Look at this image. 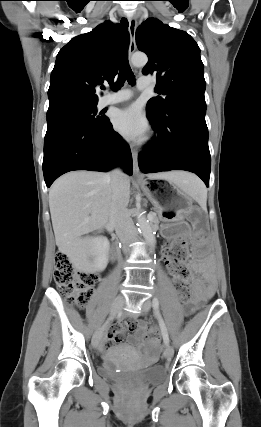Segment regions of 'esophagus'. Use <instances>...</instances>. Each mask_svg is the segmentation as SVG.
<instances>
[{
    "instance_id": "34e87169",
    "label": "esophagus",
    "mask_w": 261,
    "mask_h": 427,
    "mask_svg": "<svg viewBox=\"0 0 261 427\" xmlns=\"http://www.w3.org/2000/svg\"><path fill=\"white\" fill-rule=\"evenodd\" d=\"M128 21H129L128 31L130 36L128 55H129V58H131L136 50L135 33H136V27H137V20L135 17L131 16L128 18ZM131 152H132V161H133V176L135 178H141V173L138 165V153L135 149H132Z\"/></svg>"
}]
</instances>
